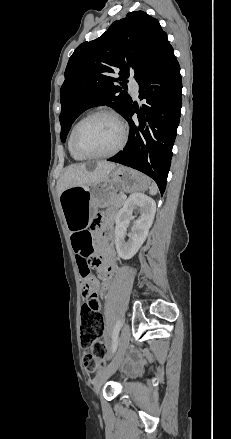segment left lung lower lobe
<instances>
[{
    "label": "left lung lower lobe",
    "mask_w": 231,
    "mask_h": 439,
    "mask_svg": "<svg viewBox=\"0 0 231 439\" xmlns=\"http://www.w3.org/2000/svg\"><path fill=\"white\" fill-rule=\"evenodd\" d=\"M137 82L139 97L146 99V104L139 109L131 102L123 115L130 125L128 144L108 161L145 173L163 194L182 106L180 66L172 46ZM134 113L138 114L135 122Z\"/></svg>",
    "instance_id": "obj_1"
}]
</instances>
